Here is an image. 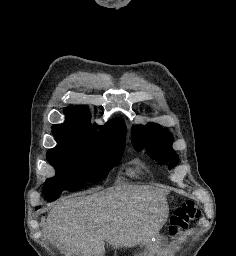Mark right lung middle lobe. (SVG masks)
<instances>
[{
  "instance_id": "right-lung-middle-lobe-1",
  "label": "right lung middle lobe",
  "mask_w": 236,
  "mask_h": 256,
  "mask_svg": "<svg viewBox=\"0 0 236 256\" xmlns=\"http://www.w3.org/2000/svg\"><path fill=\"white\" fill-rule=\"evenodd\" d=\"M57 146L48 150L47 159L56 168V176L46 181L44 194L48 201L64 190H79L88 182L104 180L116 166L125 142L103 141L70 133H54Z\"/></svg>"
}]
</instances>
